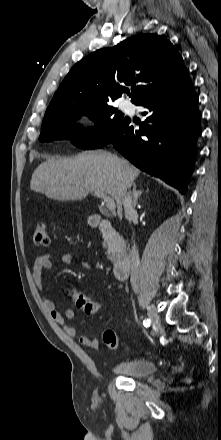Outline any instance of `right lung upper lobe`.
<instances>
[{
	"instance_id": "obj_1",
	"label": "right lung upper lobe",
	"mask_w": 221,
	"mask_h": 440,
	"mask_svg": "<svg viewBox=\"0 0 221 440\" xmlns=\"http://www.w3.org/2000/svg\"><path fill=\"white\" fill-rule=\"evenodd\" d=\"M188 79L181 55L170 41L156 34H140L118 45L99 49L76 63L52 98L47 111L84 104H111L140 83L132 102L166 91Z\"/></svg>"
}]
</instances>
